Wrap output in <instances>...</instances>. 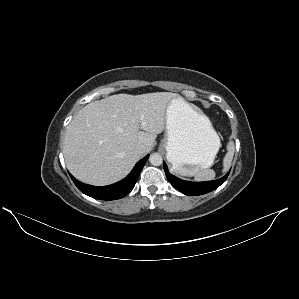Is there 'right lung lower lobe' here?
I'll use <instances>...</instances> for the list:
<instances>
[{
  "instance_id": "1",
  "label": "right lung lower lobe",
  "mask_w": 299,
  "mask_h": 299,
  "mask_svg": "<svg viewBox=\"0 0 299 299\" xmlns=\"http://www.w3.org/2000/svg\"><path fill=\"white\" fill-rule=\"evenodd\" d=\"M148 157L149 155L140 160L126 178L112 185L96 187L78 181L71 174L70 177L81 192L92 198L100 200L120 199L126 196L134 187Z\"/></svg>"
}]
</instances>
